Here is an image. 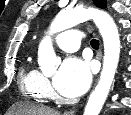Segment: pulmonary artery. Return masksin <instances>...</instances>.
<instances>
[{"label":"pulmonary artery","instance_id":"e3ab8cb5","mask_svg":"<svg viewBox=\"0 0 131 115\" xmlns=\"http://www.w3.org/2000/svg\"><path fill=\"white\" fill-rule=\"evenodd\" d=\"M82 34L78 30H66L55 37V43L64 51L74 52L79 48Z\"/></svg>","mask_w":131,"mask_h":115}]
</instances>
